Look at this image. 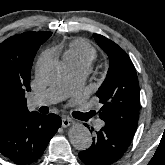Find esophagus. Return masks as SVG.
Returning <instances> with one entry per match:
<instances>
[{
	"label": "esophagus",
	"mask_w": 165,
	"mask_h": 165,
	"mask_svg": "<svg viewBox=\"0 0 165 165\" xmlns=\"http://www.w3.org/2000/svg\"><path fill=\"white\" fill-rule=\"evenodd\" d=\"M73 124V120L69 117H62V126L64 128L69 127Z\"/></svg>",
	"instance_id": "34e87169"
}]
</instances>
